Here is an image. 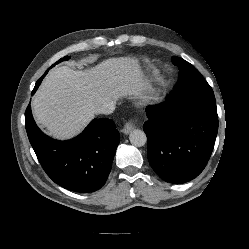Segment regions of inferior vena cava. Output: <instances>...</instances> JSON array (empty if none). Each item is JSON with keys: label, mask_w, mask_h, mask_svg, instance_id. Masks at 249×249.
Returning <instances> with one entry per match:
<instances>
[{"label": "inferior vena cava", "mask_w": 249, "mask_h": 249, "mask_svg": "<svg viewBox=\"0 0 249 249\" xmlns=\"http://www.w3.org/2000/svg\"><path fill=\"white\" fill-rule=\"evenodd\" d=\"M115 110V105L113 102H105L103 105L98 108L97 113L99 114H111Z\"/></svg>", "instance_id": "obj_1"}]
</instances>
